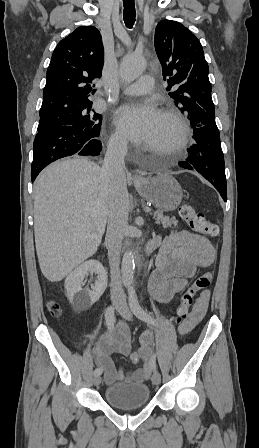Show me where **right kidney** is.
<instances>
[{
    "instance_id": "right-kidney-1",
    "label": "right kidney",
    "mask_w": 259,
    "mask_h": 448,
    "mask_svg": "<svg viewBox=\"0 0 259 448\" xmlns=\"http://www.w3.org/2000/svg\"><path fill=\"white\" fill-rule=\"evenodd\" d=\"M88 274H98L95 286L92 290H83V280ZM65 288L67 290V298L73 310H76V312L89 310L92 304L98 302L100 296L104 294L107 288V272L98 260H88V262H83L81 266L75 268L74 272L67 276Z\"/></svg>"
}]
</instances>
